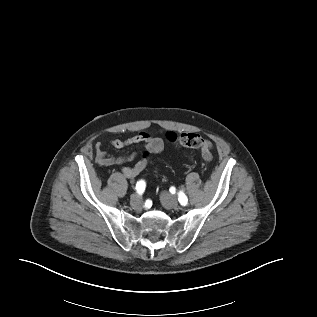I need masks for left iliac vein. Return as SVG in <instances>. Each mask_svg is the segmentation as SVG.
Listing matches in <instances>:
<instances>
[{
  "label": "left iliac vein",
  "mask_w": 317,
  "mask_h": 317,
  "mask_svg": "<svg viewBox=\"0 0 317 317\" xmlns=\"http://www.w3.org/2000/svg\"><path fill=\"white\" fill-rule=\"evenodd\" d=\"M160 200L162 205L167 209H173L178 207V200L177 198L168 193L167 191H163L160 195Z\"/></svg>",
  "instance_id": "left-iliac-vein-1"
}]
</instances>
